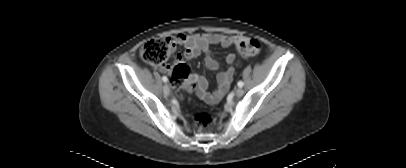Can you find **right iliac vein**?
<instances>
[{"mask_svg":"<svg viewBox=\"0 0 406 168\" xmlns=\"http://www.w3.org/2000/svg\"><path fill=\"white\" fill-rule=\"evenodd\" d=\"M163 93H164L165 96H169V95H170V87H169L167 84H165V85L163 86Z\"/></svg>","mask_w":406,"mask_h":168,"instance_id":"63e3f726","label":"right iliac vein"}]
</instances>
